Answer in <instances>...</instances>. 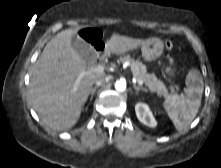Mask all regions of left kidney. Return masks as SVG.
Masks as SVG:
<instances>
[{
  "instance_id": "left-kidney-1",
  "label": "left kidney",
  "mask_w": 221,
  "mask_h": 168,
  "mask_svg": "<svg viewBox=\"0 0 221 168\" xmlns=\"http://www.w3.org/2000/svg\"><path fill=\"white\" fill-rule=\"evenodd\" d=\"M135 112L141 123L148 127H156L157 122L147 104L137 103L135 106Z\"/></svg>"
}]
</instances>
